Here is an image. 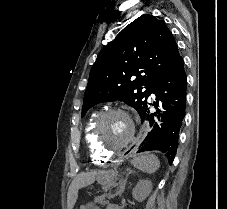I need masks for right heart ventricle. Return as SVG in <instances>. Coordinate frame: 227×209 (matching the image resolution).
Instances as JSON below:
<instances>
[{
  "instance_id": "right-heart-ventricle-1",
  "label": "right heart ventricle",
  "mask_w": 227,
  "mask_h": 209,
  "mask_svg": "<svg viewBox=\"0 0 227 209\" xmlns=\"http://www.w3.org/2000/svg\"><path fill=\"white\" fill-rule=\"evenodd\" d=\"M125 75V74H124ZM99 113H94L90 116L88 119L84 130H83V135H84V140L85 143L88 147L89 155L93 163L95 164H102V163H107L111 160L112 157L106 156L97 149V147L94 144L93 140V128L95 121L98 117ZM78 136V134H76Z\"/></svg>"
}]
</instances>
